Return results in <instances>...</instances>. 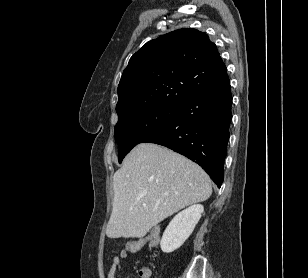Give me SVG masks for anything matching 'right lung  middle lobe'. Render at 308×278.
I'll return each mask as SVG.
<instances>
[{
	"mask_svg": "<svg viewBox=\"0 0 308 278\" xmlns=\"http://www.w3.org/2000/svg\"><path fill=\"white\" fill-rule=\"evenodd\" d=\"M177 114L178 107H152L119 120L115 126V139L119 144V163L134 146L165 127L177 117Z\"/></svg>",
	"mask_w": 308,
	"mask_h": 278,
	"instance_id": "right-lung-middle-lobe-1",
	"label": "right lung middle lobe"
}]
</instances>
